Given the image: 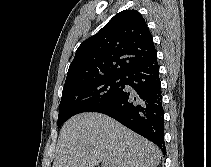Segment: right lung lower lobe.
<instances>
[{
  "label": "right lung lower lobe",
  "mask_w": 211,
  "mask_h": 167,
  "mask_svg": "<svg viewBox=\"0 0 211 167\" xmlns=\"http://www.w3.org/2000/svg\"><path fill=\"white\" fill-rule=\"evenodd\" d=\"M124 90L96 112L104 113L147 138L166 153L164 111L157 55L124 75Z\"/></svg>",
  "instance_id": "98d812e1"
}]
</instances>
